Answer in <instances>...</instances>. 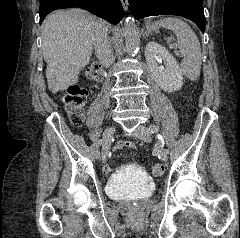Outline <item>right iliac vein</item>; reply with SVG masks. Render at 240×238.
<instances>
[{
	"label": "right iliac vein",
	"mask_w": 240,
	"mask_h": 238,
	"mask_svg": "<svg viewBox=\"0 0 240 238\" xmlns=\"http://www.w3.org/2000/svg\"><path fill=\"white\" fill-rule=\"evenodd\" d=\"M116 131L115 127H110L106 129L102 138V160H106L108 151L110 149L111 141L113 140L114 133Z\"/></svg>",
	"instance_id": "right-iliac-vein-1"
}]
</instances>
